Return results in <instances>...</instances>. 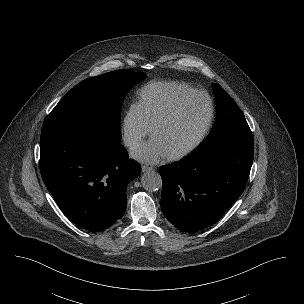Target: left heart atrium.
<instances>
[{
    "label": "left heart atrium",
    "mask_w": 304,
    "mask_h": 304,
    "mask_svg": "<svg viewBox=\"0 0 304 304\" xmlns=\"http://www.w3.org/2000/svg\"><path fill=\"white\" fill-rule=\"evenodd\" d=\"M170 155L162 142L153 137L132 152V157L146 163H156Z\"/></svg>",
    "instance_id": "39dd6f15"
}]
</instances>
